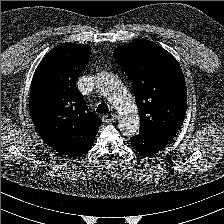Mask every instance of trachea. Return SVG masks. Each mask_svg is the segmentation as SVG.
I'll return each instance as SVG.
<instances>
[{"instance_id":"3493384b","label":"trachea","mask_w":224,"mask_h":224,"mask_svg":"<svg viewBox=\"0 0 224 224\" xmlns=\"http://www.w3.org/2000/svg\"><path fill=\"white\" fill-rule=\"evenodd\" d=\"M108 111H109V108H108L107 104H105V103L99 104L96 109V112L100 113V114H106V113H108Z\"/></svg>"}]
</instances>
